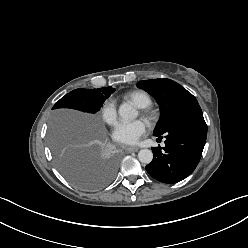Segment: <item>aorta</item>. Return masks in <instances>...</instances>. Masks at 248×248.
Instances as JSON below:
<instances>
[{
    "label": "aorta",
    "mask_w": 248,
    "mask_h": 248,
    "mask_svg": "<svg viewBox=\"0 0 248 248\" xmlns=\"http://www.w3.org/2000/svg\"><path fill=\"white\" fill-rule=\"evenodd\" d=\"M118 113L125 121L133 120L138 116L137 110L128 103L121 104ZM138 159L144 164H149L153 159V152L149 149H141L138 152Z\"/></svg>",
    "instance_id": "762f6f07"
}]
</instances>
